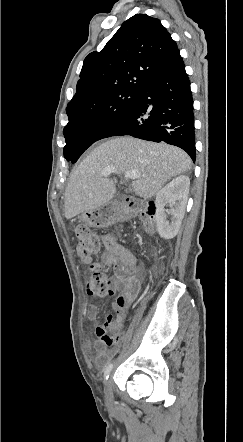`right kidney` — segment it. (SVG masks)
<instances>
[{"label":"right kidney","mask_w":243,"mask_h":442,"mask_svg":"<svg viewBox=\"0 0 243 442\" xmlns=\"http://www.w3.org/2000/svg\"><path fill=\"white\" fill-rule=\"evenodd\" d=\"M190 179L181 175L168 183L156 195V226L159 235L164 239H171L176 236L184 217L188 200ZM169 205L167 211L165 206ZM171 215V221L167 220Z\"/></svg>","instance_id":"right-kidney-1"}]
</instances>
